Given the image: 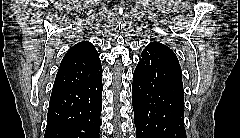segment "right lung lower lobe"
Masks as SVG:
<instances>
[{"mask_svg": "<svg viewBox=\"0 0 240 138\" xmlns=\"http://www.w3.org/2000/svg\"><path fill=\"white\" fill-rule=\"evenodd\" d=\"M102 74L85 85L51 94L44 138H99Z\"/></svg>", "mask_w": 240, "mask_h": 138, "instance_id": "1", "label": "right lung lower lobe"}]
</instances>
